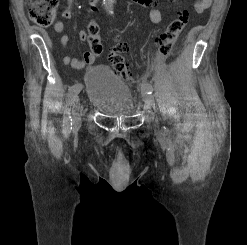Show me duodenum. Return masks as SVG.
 <instances>
[{"label": "duodenum", "mask_w": 247, "mask_h": 245, "mask_svg": "<svg viewBox=\"0 0 247 245\" xmlns=\"http://www.w3.org/2000/svg\"><path fill=\"white\" fill-rule=\"evenodd\" d=\"M95 2H98L99 0H94Z\"/></svg>", "instance_id": "1"}]
</instances>
